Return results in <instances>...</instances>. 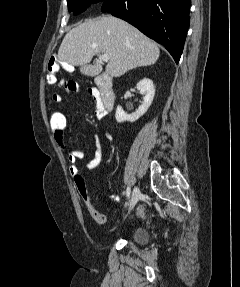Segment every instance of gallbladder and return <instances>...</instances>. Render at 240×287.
Here are the masks:
<instances>
[{
	"instance_id": "obj_1",
	"label": "gallbladder",
	"mask_w": 240,
	"mask_h": 287,
	"mask_svg": "<svg viewBox=\"0 0 240 287\" xmlns=\"http://www.w3.org/2000/svg\"><path fill=\"white\" fill-rule=\"evenodd\" d=\"M80 72L86 76H97L101 72V66L98 63L93 65H83L80 67Z\"/></svg>"
}]
</instances>
